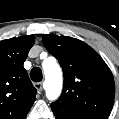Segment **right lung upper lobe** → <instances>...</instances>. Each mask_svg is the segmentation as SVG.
<instances>
[{
	"label": "right lung upper lobe",
	"instance_id": "right-lung-upper-lobe-1",
	"mask_svg": "<svg viewBox=\"0 0 119 119\" xmlns=\"http://www.w3.org/2000/svg\"><path fill=\"white\" fill-rule=\"evenodd\" d=\"M34 43L32 36L0 41V119H21L36 99L23 67Z\"/></svg>",
	"mask_w": 119,
	"mask_h": 119
}]
</instances>
